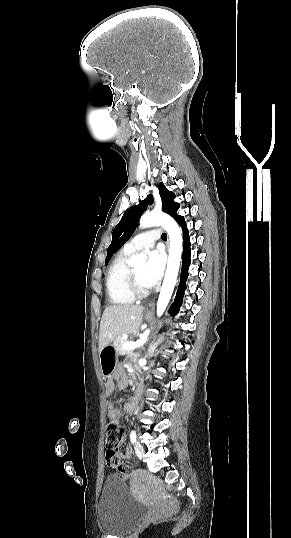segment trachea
Segmentation results:
<instances>
[{"label":"trachea","instance_id":"1","mask_svg":"<svg viewBox=\"0 0 291 538\" xmlns=\"http://www.w3.org/2000/svg\"><path fill=\"white\" fill-rule=\"evenodd\" d=\"M161 237H162L163 240H166L167 239L166 233H163Z\"/></svg>","mask_w":291,"mask_h":538}]
</instances>
